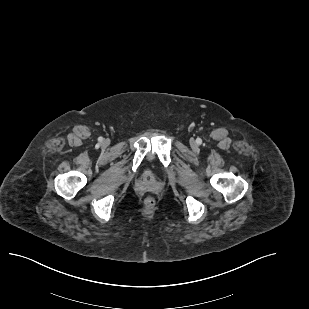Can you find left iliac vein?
<instances>
[{
    "label": "left iliac vein",
    "mask_w": 309,
    "mask_h": 309,
    "mask_svg": "<svg viewBox=\"0 0 309 309\" xmlns=\"http://www.w3.org/2000/svg\"><path fill=\"white\" fill-rule=\"evenodd\" d=\"M192 147H193V148H196V147H197V145H196V143H195L194 141L192 142Z\"/></svg>",
    "instance_id": "1"
}]
</instances>
